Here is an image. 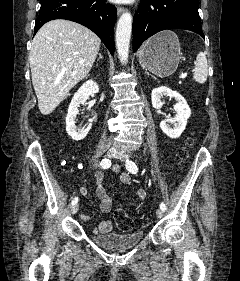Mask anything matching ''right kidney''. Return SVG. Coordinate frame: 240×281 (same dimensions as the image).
I'll return each instance as SVG.
<instances>
[{"label": "right kidney", "mask_w": 240, "mask_h": 281, "mask_svg": "<svg viewBox=\"0 0 240 281\" xmlns=\"http://www.w3.org/2000/svg\"><path fill=\"white\" fill-rule=\"evenodd\" d=\"M99 92V87L93 80L86 81L75 93L74 97L68 108V114L66 116V131L68 135L75 141L84 139L91 129L92 124L89 123L84 128H77L75 125V118L78 114V107L87 101L90 95Z\"/></svg>", "instance_id": "obj_1"}]
</instances>
